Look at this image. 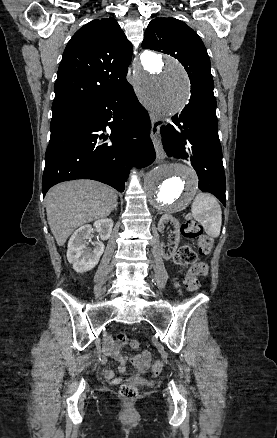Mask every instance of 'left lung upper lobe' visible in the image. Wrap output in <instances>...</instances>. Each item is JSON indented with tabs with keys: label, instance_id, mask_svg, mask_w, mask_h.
Here are the masks:
<instances>
[{
	"label": "left lung upper lobe",
	"instance_id": "5c2ea615",
	"mask_svg": "<svg viewBox=\"0 0 277 438\" xmlns=\"http://www.w3.org/2000/svg\"><path fill=\"white\" fill-rule=\"evenodd\" d=\"M142 47L170 54L182 63L191 82L190 99L215 98L206 48L198 34L183 21L172 17L153 19L145 31Z\"/></svg>",
	"mask_w": 277,
	"mask_h": 438
}]
</instances>
